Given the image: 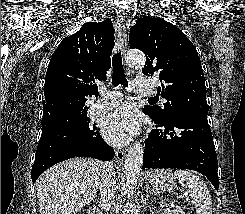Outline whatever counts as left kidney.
I'll return each mask as SVG.
<instances>
[{
    "label": "left kidney",
    "mask_w": 245,
    "mask_h": 214,
    "mask_svg": "<svg viewBox=\"0 0 245 214\" xmlns=\"http://www.w3.org/2000/svg\"><path fill=\"white\" fill-rule=\"evenodd\" d=\"M161 206L162 207H166L168 210L173 209V210H171V212H173L174 214H185L183 212L182 208L180 206H178L177 204L171 203V205L164 204V205H161Z\"/></svg>",
    "instance_id": "left-kidney-1"
}]
</instances>
